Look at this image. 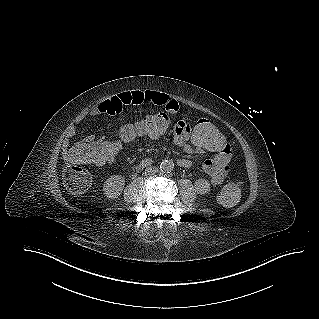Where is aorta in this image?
Masks as SVG:
<instances>
[{"instance_id": "762f6f07", "label": "aorta", "mask_w": 319, "mask_h": 319, "mask_svg": "<svg viewBox=\"0 0 319 319\" xmlns=\"http://www.w3.org/2000/svg\"><path fill=\"white\" fill-rule=\"evenodd\" d=\"M174 164L170 160H164L160 164V168L163 172H171L173 170Z\"/></svg>"}]
</instances>
